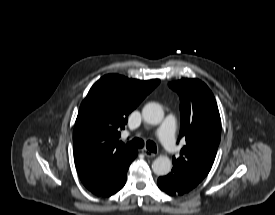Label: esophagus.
<instances>
[{"label": "esophagus", "instance_id": "1", "mask_svg": "<svg viewBox=\"0 0 275 215\" xmlns=\"http://www.w3.org/2000/svg\"><path fill=\"white\" fill-rule=\"evenodd\" d=\"M141 151H142V153H143L146 157L153 158V157L156 156L155 153H153V152L147 150L146 148L142 149Z\"/></svg>", "mask_w": 275, "mask_h": 215}]
</instances>
